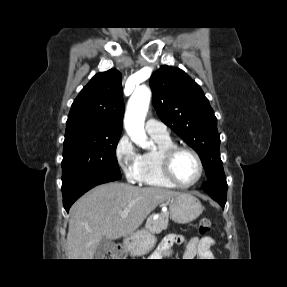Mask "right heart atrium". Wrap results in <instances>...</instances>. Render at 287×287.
<instances>
[{
    "mask_svg": "<svg viewBox=\"0 0 287 287\" xmlns=\"http://www.w3.org/2000/svg\"><path fill=\"white\" fill-rule=\"evenodd\" d=\"M117 164L124 172L128 181L139 182L140 154L127 135H122L114 150Z\"/></svg>",
    "mask_w": 287,
    "mask_h": 287,
    "instance_id": "obj_1",
    "label": "right heart atrium"
}]
</instances>
